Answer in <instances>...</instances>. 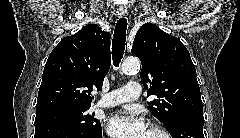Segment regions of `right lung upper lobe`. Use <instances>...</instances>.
Segmentation results:
<instances>
[{
    "instance_id": "cb5924a9",
    "label": "right lung upper lobe",
    "mask_w": 240,
    "mask_h": 138,
    "mask_svg": "<svg viewBox=\"0 0 240 138\" xmlns=\"http://www.w3.org/2000/svg\"><path fill=\"white\" fill-rule=\"evenodd\" d=\"M111 65L110 34L96 24L63 38L50 53L38 92L36 115L90 107Z\"/></svg>"
}]
</instances>
